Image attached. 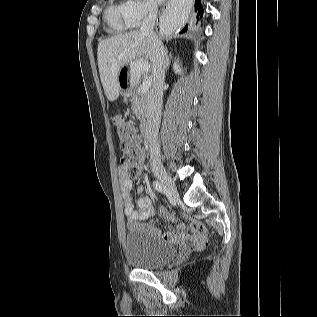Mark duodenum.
Here are the masks:
<instances>
[{
	"instance_id": "410a0bca",
	"label": "duodenum",
	"mask_w": 317,
	"mask_h": 317,
	"mask_svg": "<svg viewBox=\"0 0 317 317\" xmlns=\"http://www.w3.org/2000/svg\"><path fill=\"white\" fill-rule=\"evenodd\" d=\"M142 136L145 142L149 143L151 141L152 133L148 123H144L142 126Z\"/></svg>"
}]
</instances>
